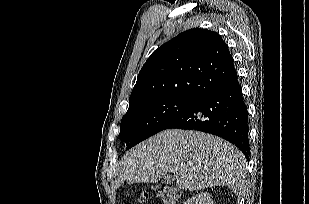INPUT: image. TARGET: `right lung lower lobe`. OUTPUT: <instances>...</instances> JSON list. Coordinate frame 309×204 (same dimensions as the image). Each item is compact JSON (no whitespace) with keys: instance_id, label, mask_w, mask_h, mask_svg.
<instances>
[{"instance_id":"obj_1","label":"right lung lower lobe","mask_w":309,"mask_h":204,"mask_svg":"<svg viewBox=\"0 0 309 204\" xmlns=\"http://www.w3.org/2000/svg\"><path fill=\"white\" fill-rule=\"evenodd\" d=\"M198 130L222 137L250 155L248 111L238 77L201 97L165 129Z\"/></svg>"}]
</instances>
